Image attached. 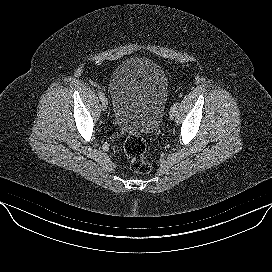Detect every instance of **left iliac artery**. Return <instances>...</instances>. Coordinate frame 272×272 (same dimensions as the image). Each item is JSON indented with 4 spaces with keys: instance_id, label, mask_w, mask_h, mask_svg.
I'll return each instance as SVG.
<instances>
[{
    "instance_id": "44dca946",
    "label": "left iliac artery",
    "mask_w": 272,
    "mask_h": 272,
    "mask_svg": "<svg viewBox=\"0 0 272 272\" xmlns=\"http://www.w3.org/2000/svg\"><path fill=\"white\" fill-rule=\"evenodd\" d=\"M178 105H179V103H178V102H175V103L172 105V107H171V108H173V109H177Z\"/></svg>"
}]
</instances>
